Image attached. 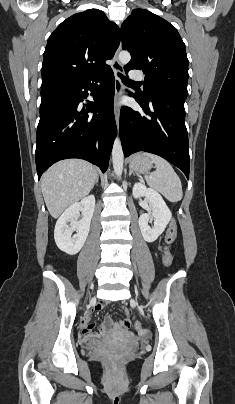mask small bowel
Returning a JSON list of instances; mask_svg holds the SVG:
<instances>
[{
    "instance_id": "1",
    "label": "small bowel",
    "mask_w": 235,
    "mask_h": 404,
    "mask_svg": "<svg viewBox=\"0 0 235 404\" xmlns=\"http://www.w3.org/2000/svg\"><path fill=\"white\" fill-rule=\"evenodd\" d=\"M106 303L105 302H100L97 305H95L93 308L89 309L86 315L84 316L82 320V327H83V334L87 338H95L97 335L94 332L95 329V324L93 323H88V320L92 316L94 312H100L105 308ZM119 330L118 327H112L111 324V318L110 316H106L104 320V324L100 328V333L101 334H114Z\"/></svg>"
}]
</instances>
